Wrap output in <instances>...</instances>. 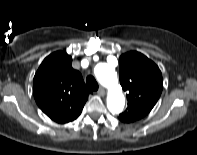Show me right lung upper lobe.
<instances>
[{"label":"right lung upper lobe","mask_w":197,"mask_h":155,"mask_svg":"<svg viewBox=\"0 0 197 155\" xmlns=\"http://www.w3.org/2000/svg\"><path fill=\"white\" fill-rule=\"evenodd\" d=\"M90 93L80 72L72 68L71 56L62 51L46 57L33 79L37 105L48 117L62 124L80 115Z\"/></svg>","instance_id":"1"}]
</instances>
